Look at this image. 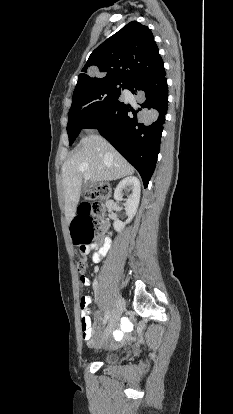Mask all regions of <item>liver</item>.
<instances>
[{
  "mask_svg": "<svg viewBox=\"0 0 233 414\" xmlns=\"http://www.w3.org/2000/svg\"><path fill=\"white\" fill-rule=\"evenodd\" d=\"M80 149L62 166L65 216L71 222L80 199L82 182L117 180L134 173V168L103 137L96 134L81 139Z\"/></svg>",
  "mask_w": 233,
  "mask_h": 414,
  "instance_id": "6515ba94",
  "label": "liver"
}]
</instances>
